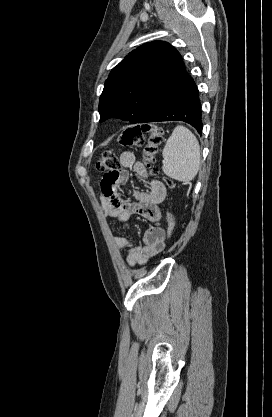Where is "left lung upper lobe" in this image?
Instances as JSON below:
<instances>
[{"label": "left lung upper lobe", "instance_id": "1", "mask_svg": "<svg viewBox=\"0 0 272 417\" xmlns=\"http://www.w3.org/2000/svg\"><path fill=\"white\" fill-rule=\"evenodd\" d=\"M184 71L181 55L167 42L138 47L110 72L100 96V121L141 123Z\"/></svg>", "mask_w": 272, "mask_h": 417}]
</instances>
